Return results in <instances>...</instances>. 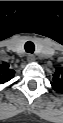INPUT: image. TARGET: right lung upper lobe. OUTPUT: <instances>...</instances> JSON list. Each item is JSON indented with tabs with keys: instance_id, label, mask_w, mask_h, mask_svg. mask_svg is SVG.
<instances>
[{
	"instance_id": "cb5924a9",
	"label": "right lung upper lobe",
	"mask_w": 63,
	"mask_h": 123,
	"mask_svg": "<svg viewBox=\"0 0 63 123\" xmlns=\"http://www.w3.org/2000/svg\"><path fill=\"white\" fill-rule=\"evenodd\" d=\"M0 73H1V78H0L1 83L9 81L15 75V71L10 69L9 64L7 63H3L0 66Z\"/></svg>"
}]
</instances>
